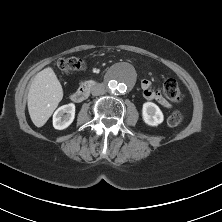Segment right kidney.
Segmentation results:
<instances>
[{
	"label": "right kidney",
	"instance_id": "right-kidney-1",
	"mask_svg": "<svg viewBox=\"0 0 222 222\" xmlns=\"http://www.w3.org/2000/svg\"><path fill=\"white\" fill-rule=\"evenodd\" d=\"M75 104L69 103L59 107L53 114V127L58 130L67 128L74 120Z\"/></svg>",
	"mask_w": 222,
	"mask_h": 222
}]
</instances>
